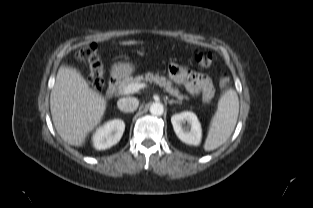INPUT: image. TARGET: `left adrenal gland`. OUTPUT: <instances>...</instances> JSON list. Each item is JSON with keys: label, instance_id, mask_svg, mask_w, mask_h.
Returning <instances> with one entry per match:
<instances>
[{"label": "left adrenal gland", "instance_id": "1", "mask_svg": "<svg viewBox=\"0 0 313 208\" xmlns=\"http://www.w3.org/2000/svg\"><path fill=\"white\" fill-rule=\"evenodd\" d=\"M168 103H169V105H171V104H173V103L177 104V103H180V102H179V101H176V100H168Z\"/></svg>", "mask_w": 313, "mask_h": 208}]
</instances>
